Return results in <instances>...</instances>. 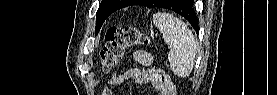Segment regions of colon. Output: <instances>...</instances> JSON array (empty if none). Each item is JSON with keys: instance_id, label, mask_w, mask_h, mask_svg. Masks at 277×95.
Masks as SVG:
<instances>
[{"instance_id": "1", "label": "colon", "mask_w": 277, "mask_h": 95, "mask_svg": "<svg viewBox=\"0 0 277 95\" xmlns=\"http://www.w3.org/2000/svg\"><path fill=\"white\" fill-rule=\"evenodd\" d=\"M148 43L149 38L135 27H112L107 29L105 33V44L100 52L102 69L105 72L114 69L118 65L126 49L147 45ZM156 74L160 82H168V76L165 71L159 70Z\"/></svg>"}]
</instances>
